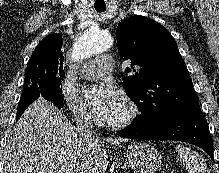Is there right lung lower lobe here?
Returning <instances> with one entry per match:
<instances>
[{
    "instance_id": "1",
    "label": "right lung lower lobe",
    "mask_w": 219,
    "mask_h": 173,
    "mask_svg": "<svg viewBox=\"0 0 219 173\" xmlns=\"http://www.w3.org/2000/svg\"><path fill=\"white\" fill-rule=\"evenodd\" d=\"M40 96L39 93H30L27 95L21 96V101L17 108V119L22 115V113L25 111V109L38 97ZM56 106V105H55ZM16 119V120H17Z\"/></svg>"
}]
</instances>
